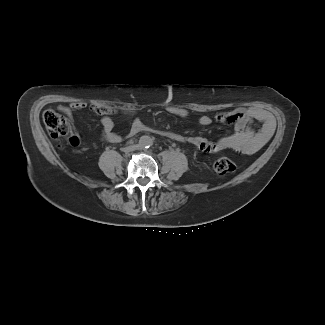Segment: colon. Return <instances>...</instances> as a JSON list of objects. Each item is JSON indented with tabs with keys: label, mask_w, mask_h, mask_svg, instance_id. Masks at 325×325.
<instances>
[{
	"label": "colon",
	"mask_w": 325,
	"mask_h": 325,
	"mask_svg": "<svg viewBox=\"0 0 325 325\" xmlns=\"http://www.w3.org/2000/svg\"><path fill=\"white\" fill-rule=\"evenodd\" d=\"M44 125L50 135L55 138L62 137L70 132V124L64 115L61 113L48 109L42 116ZM70 144H76V138H69ZM236 166L234 162L227 157H220L213 163V170L219 175H225L235 171Z\"/></svg>",
	"instance_id": "obj_1"
}]
</instances>
